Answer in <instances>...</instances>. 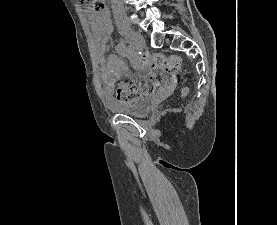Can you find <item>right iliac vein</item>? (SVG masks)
Wrapping results in <instances>:
<instances>
[{
	"label": "right iliac vein",
	"mask_w": 277,
	"mask_h": 225,
	"mask_svg": "<svg viewBox=\"0 0 277 225\" xmlns=\"http://www.w3.org/2000/svg\"><path fill=\"white\" fill-rule=\"evenodd\" d=\"M121 32L128 37L136 47L138 48H143L145 46V40L144 38L141 36V34H139L138 32L130 29V28H123L121 30Z\"/></svg>",
	"instance_id": "1"
}]
</instances>
